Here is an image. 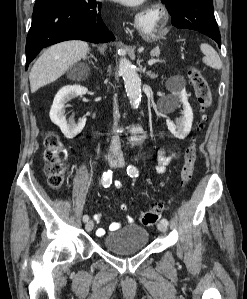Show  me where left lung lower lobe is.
Listing matches in <instances>:
<instances>
[{
  "mask_svg": "<svg viewBox=\"0 0 247 299\" xmlns=\"http://www.w3.org/2000/svg\"><path fill=\"white\" fill-rule=\"evenodd\" d=\"M165 6L171 15L173 26L199 31L221 46L212 0H172L165 3Z\"/></svg>",
  "mask_w": 247,
  "mask_h": 299,
  "instance_id": "obj_1",
  "label": "left lung lower lobe"
}]
</instances>
